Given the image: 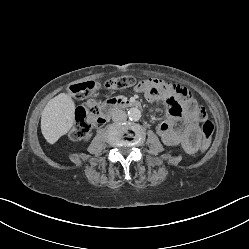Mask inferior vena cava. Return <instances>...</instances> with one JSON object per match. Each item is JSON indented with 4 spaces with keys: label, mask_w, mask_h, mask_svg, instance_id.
Returning <instances> with one entry per match:
<instances>
[{
    "label": "inferior vena cava",
    "mask_w": 249,
    "mask_h": 249,
    "mask_svg": "<svg viewBox=\"0 0 249 249\" xmlns=\"http://www.w3.org/2000/svg\"><path fill=\"white\" fill-rule=\"evenodd\" d=\"M127 119V115L125 113V111L123 110H115L112 113V120L115 122H122L125 121Z\"/></svg>",
    "instance_id": "1"
}]
</instances>
